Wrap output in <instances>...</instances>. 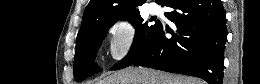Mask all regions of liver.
Instances as JSON below:
<instances>
[{
  "label": "liver",
  "mask_w": 260,
  "mask_h": 84,
  "mask_svg": "<svg viewBox=\"0 0 260 84\" xmlns=\"http://www.w3.org/2000/svg\"><path fill=\"white\" fill-rule=\"evenodd\" d=\"M88 84H205L198 78L164 73L149 68H127L97 83Z\"/></svg>",
  "instance_id": "obj_1"
}]
</instances>
